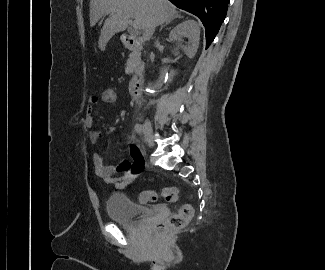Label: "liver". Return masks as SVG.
Wrapping results in <instances>:
<instances>
[{"mask_svg":"<svg viewBox=\"0 0 325 270\" xmlns=\"http://www.w3.org/2000/svg\"><path fill=\"white\" fill-rule=\"evenodd\" d=\"M105 21L99 36V47L104 49L109 39L128 26V18L137 20L143 31V38L150 40L158 25L172 19L176 7L168 0H90V24L95 25L105 14Z\"/></svg>","mask_w":325,"mask_h":270,"instance_id":"6515ba94","label":"liver"}]
</instances>
